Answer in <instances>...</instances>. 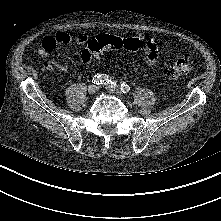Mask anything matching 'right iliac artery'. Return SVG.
<instances>
[{
	"label": "right iliac artery",
	"mask_w": 221,
	"mask_h": 221,
	"mask_svg": "<svg viewBox=\"0 0 221 221\" xmlns=\"http://www.w3.org/2000/svg\"><path fill=\"white\" fill-rule=\"evenodd\" d=\"M112 82L107 74H97L92 78V83L101 85Z\"/></svg>",
	"instance_id": "82829eb1"
}]
</instances>
